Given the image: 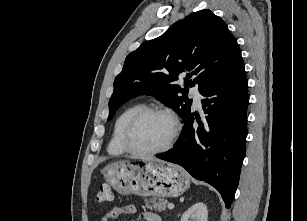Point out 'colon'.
<instances>
[{"instance_id":"5ec220e1","label":"colon","mask_w":307,"mask_h":221,"mask_svg":"<svg viewBox=\"0 0 307 221\" xmlns=\"http://www.w3.org/2000/svg\"><path fill=\"white\" fill-rule=\"evenodd\" d=\"M113 199L114 195L110 186L106 184L101 185L96 195V201L102 204L112 202Z\"/></svg>"}]
</instances>
